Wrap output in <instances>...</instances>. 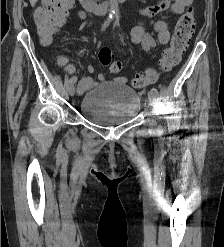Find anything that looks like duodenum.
Listing matches in <instances>:
<instances>
[{
	"instance_id": "duodenum-1",
	"label": "duodenum",
	"mask_w": 224,
	"mask_h": 247,
	"mask_svg": "<svg viewBox=\"0 0 224 247\" xmlns=\"http://www.w3.org/2000/svg\"><path fill=\"white\" fill-rule=\"evenodd\" d=\"M121 1L122 0H103V2L97 4L95 0H79L85 10L95 9L101 14L107 13L114 5Z\"/></svg>"
}]
</instances>
